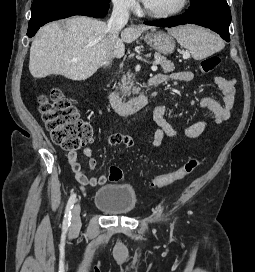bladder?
<instances>
[{"instance_id":"31cf9c89","label":"bladder","mask_w":255,"mask_h":272,"mask_svg":"<svg viewBox=\"0 0 255 272\" xmlns=\"http://www.w3.org/2000/svg\"><path fill=\"white\" fill-rule=\"evenodd\" d=\"M93 204L109 215H128L137 206V193L131 184H106L96 191Z\"/></svg>"}]
</instances>
